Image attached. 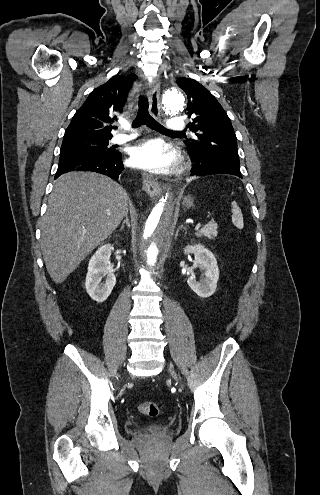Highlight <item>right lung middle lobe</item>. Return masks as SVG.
Returning <instances> with one entry per match:
<instances>
[{
    "instance_id": "right-lung-middle-lobe-1",
    "label": "right lung middle lobe",
    "mask_w": 320,
    "mask_h": 495,
    "mask_svg": "<svg viewBox=\"0 0 320 495\" xmlns=\"http://www.w3.org/2000/svg\"><path fill=\"white\" fill-rule=\"evenodd\" d=\"M110 138H82L65 140L61 146V154H109L112 149L108 148Z\"/></svg>"
}]
</instances>
